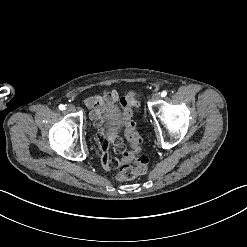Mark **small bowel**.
<instances>
[{
  "mask_svg": "<svg viewBox=\"0 0 247 247\" xmlns=\"http://www.w3.org/2000/svg\"><path fill=\"white\" fill-rule=\"evenodd\" d=\"M118 99L116 91H110L103 96H91L85 99L84 105L92 111L90 119L96 123H101L104 120V112L110 114L107 117V135L99 133L96 136V141L99 143V151L101 155V165L108 170H113L116 167V162L112 159L110 150V142L114 145V151L117 154H122L125 149L130 146V140L127 137H122L118 133V117L113 114L116 111V106L113 104Z\"/></svg>",
  "mask_w": 247,
  "mask_h": 247,
  "instance_id": "c3829d8e",
  "label": "small bowel"
}]
</instances>
